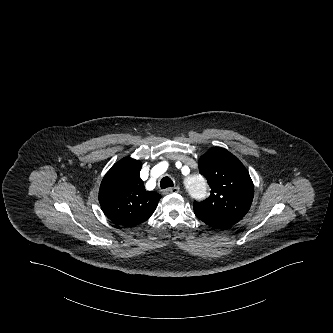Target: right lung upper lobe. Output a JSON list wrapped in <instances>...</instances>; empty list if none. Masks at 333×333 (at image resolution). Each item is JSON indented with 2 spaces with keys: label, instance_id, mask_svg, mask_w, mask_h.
<instances>
[{
  "label": "right lung upper lobe",
  "instance_id": "cb5924a9",
  "mask_svg": "<svg viewBox=\"0 0 333 333\" xmlns=\"http://www.w3.org/2000/svg\"><path fill=\"white\" fill-rule=\"evenodd\" d=\"M141 162L123 158L107 172L99 190L104 214L114 223L132 227L146 221L161 195L146 191L140 178Z\"/></svg>",
  "mask_w": 333,
  "mask_h": 333
}]
</instances>
